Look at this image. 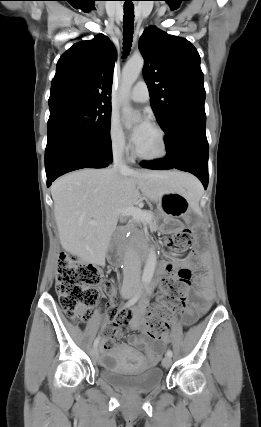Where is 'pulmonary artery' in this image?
<instances>
[{
	"instance_id": "1",
	"label": "pulmonary artery",
	"mask_w": 261,
	"mask_h": 427,
	"mask_svg": "<svg viewBox=\"0 0 261 427\" xmlns=\"http://www.w3.org/2000/svg\"><path fill=\"white\" fill-rule=\"evenodd\" d=\"M129 98L134 102L145 103L149 100V90L145 82H138L129 94Z\"/></svg>"
}]
</instances>
